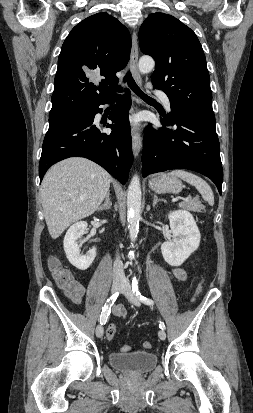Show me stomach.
<instances>
[{"label": "stomach", "mask_w": 253, "mask_h": 413, "mask_svg": "<svg viewBox=\"0 0 253 413\" xmlns=\"http://www.w3.org/2000/svg\"><path fill=\"white\" fill-rule=\"evenodd\" d=\"M150 188L156 193L177 194L183 189V183L171 174H161L149 182Z\"/></svg>", "instance_id": "1"}]
</instances>
